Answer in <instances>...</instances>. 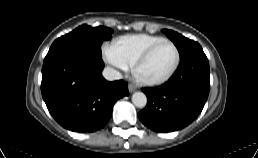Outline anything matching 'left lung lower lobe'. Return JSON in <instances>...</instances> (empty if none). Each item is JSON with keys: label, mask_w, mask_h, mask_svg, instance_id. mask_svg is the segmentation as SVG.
<instances>
[{"label": "left lung lower lobe", "mask_w": 258, "mask_h": 158, "mask_svg": "<svg viewBox=\"0 0 258 158\" xmlns=\"http://www.w3.org/2000/svg\"><path fill=\"white\" fill-rule=\"evenodd\" d=\"M209 63L198 44L181 58L176 72L160 87L143 89L146 107L141 122L157 132H172L190 124L202 111L210 90Z\"/></svg>", "instance_id": "left-lung-lower-lobe-1"}]
</instances>
